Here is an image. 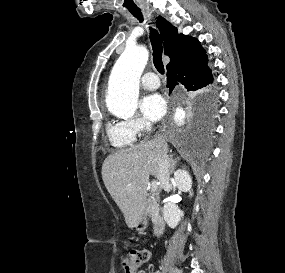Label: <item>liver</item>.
I'll list each match as a JSON object with an SVG mask.
<instances>
[{"mask_svg": "<svg viewBox=\"0 0 285 273\" xmlns=\"http://www.w3.org/2000/svg\"><path fill=\"white\" fill-rule=\"evenodd\" d=\"M162 151L167 152V143L163 139H156L114 152L103 162L105 187L130 228L136 226L143 214L149 176L158 178V159Z\"/></svg>", "mask_w": 285, "mask_h": 273, "instance_id": "6515ba94", "label": "liver"}]
</instances>
